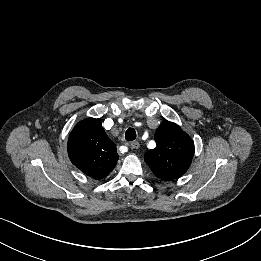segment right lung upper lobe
I'll use <instances>...</instances> for the list:
<instances>
[{
    "mask_svg": "<svg viewBox=\"0 0 261 261\" xmlns=\"http://www.w3.org/2000/svg\"><path fill=\"white\" fill-rule=\"evenodd\" d=\"M68 155L77 168L93 179L105 178L119 158L99 118L85 119L74 127L68 139Z\"/></svg>",
    "mask_w": 261,
    "mask_h": 261,
    "instance_id": "obj_1",
    "label": "right lung upper lobe"
}]
</instances>
